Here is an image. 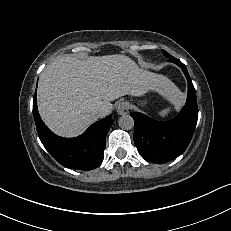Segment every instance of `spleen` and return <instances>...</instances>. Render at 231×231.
Returning <instances> with one entry per match:
<instances>
[{
	"mask_svg": "<svg viewBox=\"0 0 231 231\" xmlns=\"http://www.w3.org/2000/svg\"><path fill=\"white\" fill-rule=\"evenodd\" d=\"M179 106H180L179 97L175 96L172 99V102H171L170 106L163 109L161 112H159L157 117L159 119H165V118H167L169 116V114L172 112V110L179 108Z\"/></svg>",
	"mask_w": 231,
	"mask_h": 231,
	"instance_id": "obj_1",
	"label": "spleen"
}]
</instances>
